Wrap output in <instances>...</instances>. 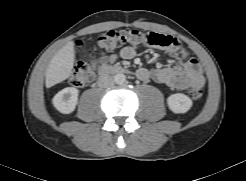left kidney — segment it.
<instances>
[{
    "label": "left kidney",
    "instance_id": "left-kidney-1",
    "mask_svg": "<svg viewBox=\"0 0 246 181\" xmlns=\"http://www.w3.org/2000/svg\"><path fill=\"white\" fill-rule=\"evenodd\" d=\"M167 104L174 113H186L192 106V100L185 94L176 93L167 98Z\"/></svg>",
    "mask_w": 246,
    "mask_h": 181
}]
</instances>
